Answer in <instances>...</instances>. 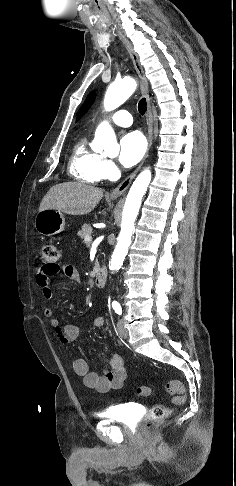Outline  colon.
<instances>
[{"instance_id":"5ec220e1","label":"colon","mask_w":236,"mask_h":486,"mask_svg":"<svg viewBox=\"0 0 236 486\" xmlns=\"http://www.w3.org/2000/svg\"><path fill=\"white\" fill-rule=\"evenodd\" d=\"M60 258V251L54 244H46L41 249V266L45 270H52L57 266ZM165 391L172 396V403L180 406L186 401V389L179 380H171L165 386ZM152 390L148 386H140L137 389L138 395L142 397L150 396ZM172 408L165 405H155L151 408L146 419L144 429L150 431L153 427L163 422L170 416Z\"/></svg>"}]
</instances>
